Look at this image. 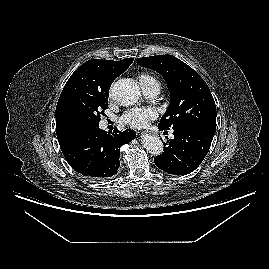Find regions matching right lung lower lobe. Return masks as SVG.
<instances>
[{
    "mask_svg": "<svg viewBox=\"0 0 269 269\" xmlns=\"http://www.w3.org/2000/svg\"><path fill=\"white\" fill-rule=\"evenodd\" d=\"M131 129L110 133L97 127H76L57 133L69 165L87 179H106L117 173L122 145L135 139Z\"/></svg>",
    "mask_w": 269,
    "mask_h": 269,
    "instance_id": "right-lung-lower-lobe-1",
    "label": "right lung lower lobe"
}]
</instances>
